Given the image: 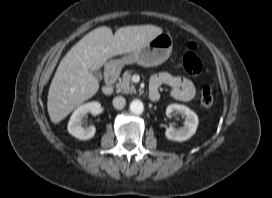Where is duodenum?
I'll use <instances>...</instances> for the list:
<instances>
[{
	"label": "duodenum",
	"instance_id": "duodenum-1",
	"mask_svg": "<svg viewBox=\"0 0 272 198\" xmlns=\"http://www.w3.org/2000/svg\"><path fill=\"white\" fill-rule=\"evenodd\" d=\"M120 76V70L115 67H110L106 70V83L101 87V92L104 95H111L114 91V84ZM149 96L152 100H157L159 97L158 91H150Z\"/></svg>",
	"mask_w": 272,
	"mask_h": 198
}]
</instances>
